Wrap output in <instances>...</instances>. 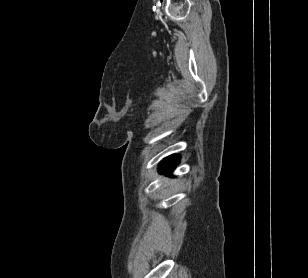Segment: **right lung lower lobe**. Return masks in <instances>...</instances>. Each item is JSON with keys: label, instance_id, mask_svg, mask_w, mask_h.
<instances>
[{"label": "right lung lower lobe", "instance_id": "1", "mask_svg": "<svg viewBox=\"0 0 308 278\" xmlns=\"http://www.w3.org/2000/svg\"><path fill=\"white\" fill-rule=\"evenodd\" d=\"M179 163V156L172 155L169 157H166L164 161L161 163L159 169L161 172H163L166 175H170L175 166Z\"/></svg>", "mask_w": 308, "mask_h": 278}]
</instances>
